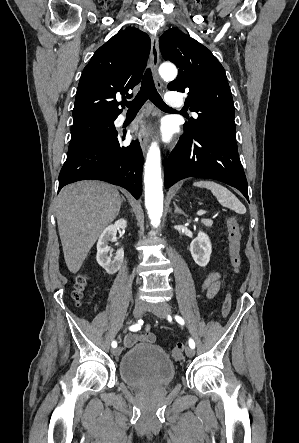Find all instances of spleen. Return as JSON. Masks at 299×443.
I'll use <instances>...</instances> for the list:
<instances>
[{
	"mask_svg": "<svg viewBox=\"0 0 299 443\" xmlns=\"http://www.w3.org/2000/svg\"><path fill=\"white\" fill-rule=\"evenodd\" d=\"M196 187L207 188L211 190L212 194L217 198L218 202L238 214H245V206L238 200V198L230 192L227 188L213 181H198L193 184Z\"/></svg>",
	"mask_w": 299,
	"mask_h": 443,
	"instance_id": "1",
	"label": "spleen"
}]
</instances>
